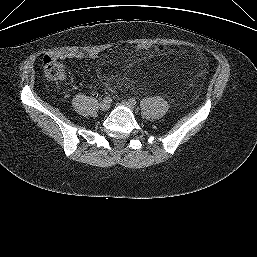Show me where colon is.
Instances as JSON below:
<instances>
[{
  "mask_svg": "<svg viewBox=\"0 0 257 257\" xmlns=\"http://www.w3.org/2000/svg\"><path fill=\"white\" fill-rule=\"evenodd\" d=\"M151 48L152 46L148 43H139L136 46V49L140 52H147ZM44 70L46 76L52 80H60L64 77L62 65L47 56L44 57Z\"/></svg>",
  "mask_w": 257,
  "mask_h": 257,
  "instance_id": "5ec220e1",
  "label": "colon"
}]
</instances>
